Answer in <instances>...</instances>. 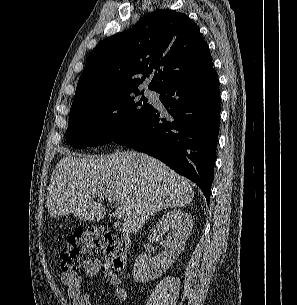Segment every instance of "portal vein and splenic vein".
Returning a JSON list of instances; mask_svg holds the SVG:
<instances>
[{"label":"portal vein and splenic vein","mask_w":297,"mask_h":305,"mask_svg":"<svg viewBox=\"0 0 297 305\" xmlns=\"http://www.w3.org/2000/svg\"><path fill=\"white\" fill-rule=\"evenodd\" d=\"M96 196H98L101 199L108 200L109 202L114 201V197L109 193H96ZM115 215L117 218H123L125 216V210L123 206H118L115 209Z\"/></svg>","instance_id":"18ae733b"}]
</instances>
